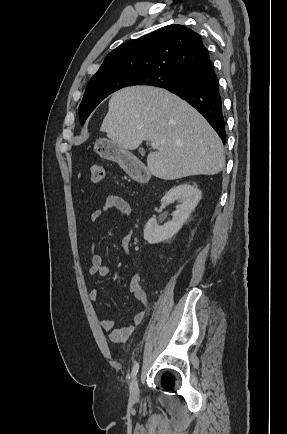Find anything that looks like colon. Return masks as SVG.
I'll use <instances>...</instances> for the list:
<instances>
[{
  "label": "colon",
  "instance_id": "obj_1",
  "mask_svg": "<svg viewBox=\"0 0 287 434\" xmlns=\"http://www.w3.org/2000/svg\"><path fill=\"white\" fill-rule=\"evenodd\" d=\"M107 168L103 165H93L91 167V179L93 183H99L107 177Z\"/></svg>",
  "mask_w": 287,
  "mask_h": 434
}]
</instances>
